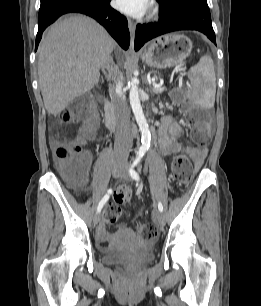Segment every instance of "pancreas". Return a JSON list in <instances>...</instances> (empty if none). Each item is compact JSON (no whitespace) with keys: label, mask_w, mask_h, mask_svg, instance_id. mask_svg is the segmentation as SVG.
<instances>
[{"label":"pancreas","mask_w":261,"mask_h":306,"mask_svg":"<svg viewBox=\"0 0 261 306\" xmlns=\"http://www.w3.org/2000/svg\"><path fill=\"white\" fill-rule=\"evenodd\" d=\"M165 87H153L152 88V92L155 93V94H160L164 91Z\"/></svg>","instance_id":"cf45deb5"}]
</instances>
